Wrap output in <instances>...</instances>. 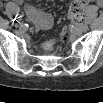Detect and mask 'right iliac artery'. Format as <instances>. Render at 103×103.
I'll return each mask as SVG.
<instances>
[{"label":"right iliac artery","mask_w":103,"mask_h":103,"mask_svg":"<svg viewBox=\"0 0 103 103\" xmlns=\"http://www.w3.org/2000/svg\"><path fill=\"white\" fill-rule=\"evenodd\" d=\"M22 17H23V16H22L21 14H17L14 20H17V21H18V20H21Z\"/></svg>","instance_id":"right-iliac-artery-1"}]
</instances>
